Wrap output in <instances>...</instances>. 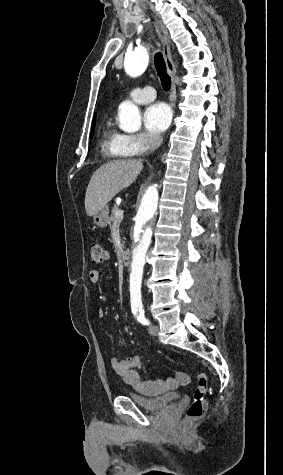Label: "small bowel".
Masks as SVG:
<instances>
[{
	"mask_svg": "<svg viewBox=\"0 0 283 475\" xmlns=\"http://www.w3.org/2000/svg\"><path fill=\"white\" fill-rule=\"evenodd\" d=\"M89 279L92 283H98L101 279V272L98 269H92L89 272ZM98 317L103 319L106 316V311L102 308L98 310ZM112 369L123 379L124 382L129 384L135 389H142L146 382L142 380L139 375L138 370L142 365V360L139 356H129L124 359L112 358L110 360ZM186 378L185 372H180L177 378H174V381L177 384H188L184 383L181 379ZM154 383L156 385H163L165 383V378L163 376H156L154 378Z\"/></svg>",
	"mask_w": 283,
	"mask_h": 475,
	"instance_id": "small-bowel-1",
	"label": "small bowel"
}]
</instances>
